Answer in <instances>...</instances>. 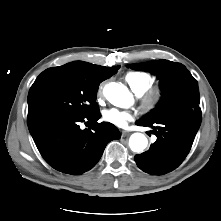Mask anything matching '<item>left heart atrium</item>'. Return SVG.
<instances>
[{"mask_svg": "<svg viewBox=\"0 0 221 221\" xmlns=\"http://www.w3.org/2000/svg\"><path fill=\"white\" fill-rule=\"evenodd\" d=\"M103 117L105 121L117 127H125L133 119V115L130 112L114 108L106 110Z\"/></svg>", "mask_w": 221, "mask_h": 221, "instance_id": "1", "label": "left heart atrium"}]
</instances>
